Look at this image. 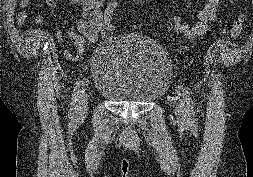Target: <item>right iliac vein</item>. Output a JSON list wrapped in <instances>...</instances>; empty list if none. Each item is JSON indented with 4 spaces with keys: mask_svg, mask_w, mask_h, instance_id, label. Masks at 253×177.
Segmentation results:
<instances>
[{
    "mask_svg": "<svg viewBox=\"0 0 253 177\" xmlns=\"http://www.w3.org/2000/svg\"><path fill=\"white\" fill-rule=\"evenodd\" d=\"M89 93L84 92L81 94L78 101V114L80 117L84 116L88 110Z\"/></svg>",
    "mask_w": 253,
    "mask_h": 177,
    "instance_id": "obj_1",
    "label": "right iliac vein"
}]
</instances>
